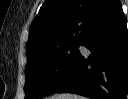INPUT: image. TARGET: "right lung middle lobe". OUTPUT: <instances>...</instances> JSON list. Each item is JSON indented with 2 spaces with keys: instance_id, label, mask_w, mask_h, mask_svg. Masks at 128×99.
<instances>
[{
  "instance_id": "right-lung-middle-lobe-1",
  "label": "right lung middle lobe",
  "mask_w": 128,
  "mask_h": 99,
  "mask_svg": "<svg viewBox=\"0 0 128 99\" xmlns=\"http://www.w3.org/2000/svg\"><path fill=\"white\" fill-rule=\"evenodd\" d=\"M80 45L71 43L27 58L25 99H36L62 82L81 58Z\"/></svg>"
}]
</instances>
